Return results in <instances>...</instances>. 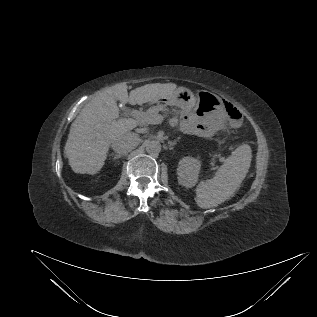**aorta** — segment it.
I'll return each instance as SVG.
<instances>
[{
  "label": "aorta",
  "mask_w": 317,
  "mask_h": 317,
  "mask_svg": "<svg viewBox=\"0 0 317 317\" xmlns=\"http://www.w3.org/2000/svg\"><path fill=\"white\" fill-rule=\"evenodd\" d=\"M147 153L152 156H158L161 151V144L157 140H148L145 143Z\"/></svg>",
  "instance_id": "762f6f07"
}]
</instances>
